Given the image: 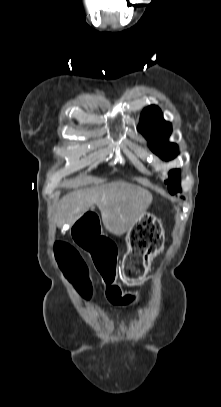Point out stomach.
I'll return each mask as SVG.
<instances>
[{"mask_svg": "<svg viewBox=\"0 0 221 407\" xmlns=\"http://www.w3.org/2000/svg\"><path fill=\"white\" fill-rule=\"evenodd\" d=\"M127 252L122 259V271L127 279H138L148 271L152 259L164 248L161 221L145 213L126 234Z\"/></svg>", "mask_w": 221, "mask_h": 407, "instance_id": "0dacf381", "label": "stomach"}]
</instances>
